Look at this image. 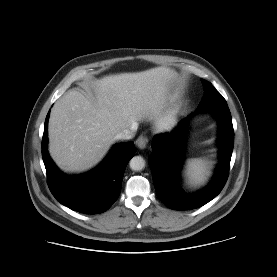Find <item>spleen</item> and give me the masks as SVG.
I'll use <instances>...</instances> for the list:
<instances>
[{
    "label": "spleen",
    "instance_id": "spleen-1",
    "mask_svg": "<svg viewBox=\"0 0 277 277\" xmlns=\"http://www.w3.org/2000/svg\"><path fill=\"white\" fill-rule=\"evenodd\" d=\"M208 173V162L202 158H191L186 162V176L192 185L204 182Z\"/></svg>",
    "mask_w": 277,
    "mask_h": 277
}]
</instances>
